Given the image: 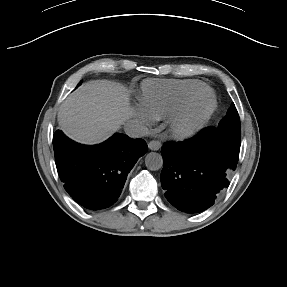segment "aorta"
<instances>
[{
  "mask_svg": "<svg viewBox=\"0 0 287 287\" xmlns=\"http://www.w3.org/2000/svg\"><path fill=\"white\" fill-rule=\"evenodd\" d=\"M145 165L151 171H157L163 166L162 155L156 152H150L145 157Z\"/></svg>",
  "mask_w": 287,
  "mask_h": 287,
  "instance_id": "1",
  "label": "aorta"
}]
</instances>
